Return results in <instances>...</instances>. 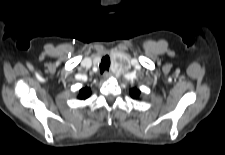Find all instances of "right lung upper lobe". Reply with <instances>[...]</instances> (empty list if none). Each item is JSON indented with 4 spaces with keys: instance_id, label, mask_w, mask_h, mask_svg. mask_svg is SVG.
Segmentation results:
<instances>
[{
    "instance_id": "obj_1",
    "label": "right lung upper lobe",
    "mask_w": 225,
    "mask_h": 155,
    "mask_svg": "<svg viewBox=\"0 0 225 155\" xmlns=\"http://www.w3.org/2000/svg\"><path fill=\"white\" fill-rule=\"evenodd\" d=\"M90 96V88L85 87L80 90L79 99H87Z\"/></svg>"
}]
</instances>
